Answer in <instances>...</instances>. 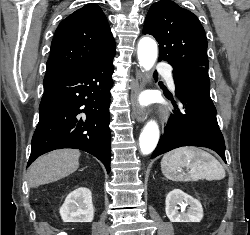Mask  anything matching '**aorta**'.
<instances>
[{"label":"aorta","mask_w":250,"mask_h":235,"mask_svg":"<svg viewBox=\"0 0 250 235\" xmlns=\"http://www.w3.org/2000/svg\"><path fill=\"white\" fill-rule=\"evenodd\" d=\"M138 59L140 67L150 70L157 59V44L149 37L142 38L138 43ZM159 140V128L155 121H149L144 127L139 145L142 154H150L156 147Z\"/></svg>","instance_id":"1"}]
</instances>
